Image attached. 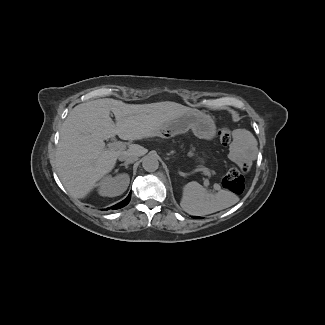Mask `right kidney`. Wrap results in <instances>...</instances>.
I'll list each match as a JSON object with an SVG mask.
<instances>
[{"mask_svg": "<svg viewBox=\"0 0 325 325\" xmlns=\"http://www.w3.org/2000/svg\"><path fill=\"white\" fill-rule=\"evenodd\" d=\"M129 182L130 178L127 174H119L115 177L104 176L98 184V193L101 196H119L126 191Z\"/></svg>", "mask_w": 325, "mask_h": 325, "instance_id": "obj_1", "label": "right kidney"}]
</instances>
